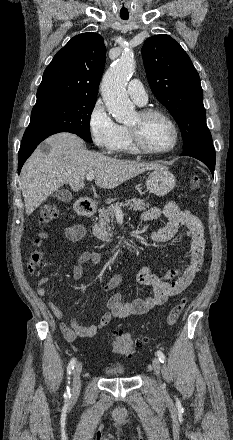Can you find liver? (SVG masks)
<instances>
[{
  "mask_svg": "<svg viewBox=\"0 0 233 440\" xmlns=\"http://www.w3.org/2000/svg\"><path fill=\"white\" fill-rule=\"evenodd\" d=\"M48 154L37 148L22 168V195L27 216L64 184L73 191L85 187L84 178L94 175L100 188L113 189L147 170L164 168L158 163L120 160L89 151L77 135L69 132L54 134L45 140Z\"/></svg>",
  "mask_w": 233,
  "mask_h": 440,
  "instance_id": "6515ba94",
  "label": "liver"
}]
</instances>
